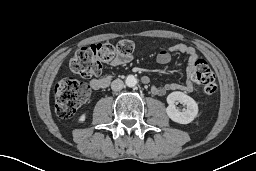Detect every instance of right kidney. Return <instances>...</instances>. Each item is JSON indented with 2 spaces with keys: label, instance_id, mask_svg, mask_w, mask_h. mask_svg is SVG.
<instances>
[{
  "label": "right kidney",
  "instance_id": "1",
  "mask_svg": "<svg viewBox=\"0 0 256 171\" xmlns=\"http://www.w3.org/2000/svg\"><path fill=\"white\" fill-rule=\"evenodd\" d=\"M85 120H86V114H82V115L79 117V122L83 123Z\"/></svg>",
  "mask_w": 256,
  "mask_h": 171
}]
</instances>
